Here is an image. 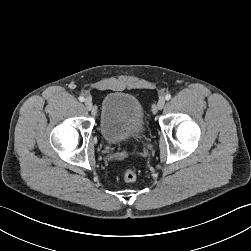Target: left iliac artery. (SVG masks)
Wrapping results in <instances>:
<instances>
[{
    "mask_svg": "<svg viewBox=\"0 0 251 251\" xmlns=\"http://www.w3.org/2000/svg\"><path fill=\"white\" fill-rule=\"evenodd\" d=\"M165 99H166V100H170V99H171V95H170V94H167V95L165 96Z\"/></svg>",
    "mask_w": 251,
    "mask_h": 251,
    "instance_id": "obj_1",
    "label": "left iliac artery"
}]
</instances>
